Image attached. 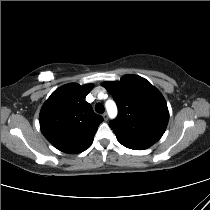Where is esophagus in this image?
<instances>
[{"label": "esophagus", "mask_w": 210, "mask_h": 210, "mask_svg": "<svg viewBox=\"0 0 210 210\" xmlns=\"http://www.w3.org/2000/svg\"><path fill=\"white\" fill-rule=\"evenodd\" d=\"M102 117H103V119H104L105 121L108 120V115H107V113L102 114Z\"/></svg>", "instance_id": "1"}]
</instances>
